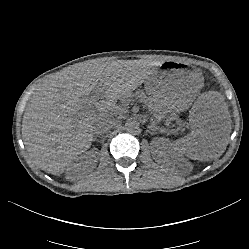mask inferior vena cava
<instances>
[{"instance_id": "602c4592", "label": "inferior vena cava", "mask_w": 249, "mask_h": 249, "mask_svg": "<svg viewBox=\"0 0 249 249\" xmlns=\"http://www.w3.org/2000/svg\"><path fill=\"white\" fill-rule=\"evenodd\" d=\"M113 123V117L105 113L92 125V130L96 133H107L112 129Z\"/></svg>"}]
</instances>
